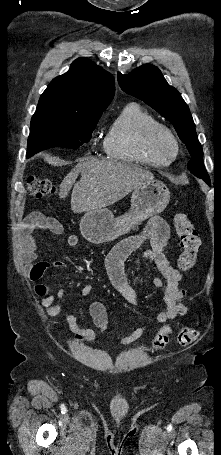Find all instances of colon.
Here are the masks:
<instances>
[{"label": "colon", "instance_id": "obj_1", "mask_svg": "<svg viewBox=\"0 0 221 455\" xmlns=\"http://www.w3.org/2000/svg\"><path fill=\"white\" fill-rule=\"evenodd\" d=\"M27 187L30 195L37 199L51 197L57 192L55 184L45 178L31 177L27 181ZM174 227L181 247L177 267L181 271H188L196 263L201 240L191 218L186 214H177L174 217ZM171 333L172 330L169 325L161 327L153 339V349H164L170 342ZM198 336L197 330L183 328L177 335V341L180 345L187 346L193 344Z\"/></svg>", "mask_w": 221, "mask_h": 455}]
</instances>
